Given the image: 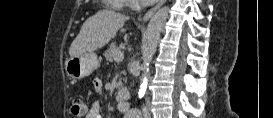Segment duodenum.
Instances as JSON below:
<instances>
[{"mask_svg":"<svg viewBox=\"0 0 273 118\" xmlns=\"http://www.w3.org/2000/svg\"><path fill=\"white\" fill-rule=\"evenodd\" d=\"M116 99L120 102L127 101L130 99V92L124 88L118 89L116 92Z\"/></svg>","mask_w":273,"mask_h":118,"instance_id":"obj_1","label":"duodenum"}]
</instances>
